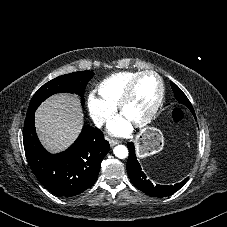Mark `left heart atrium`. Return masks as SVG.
<instances>
[{
    "mask_svg": "<svg viewBox=\"0 0 227 227\" xmlns=\"http://www.w3.org/2000/svg\"><path fill=\"white\" fill-rule=\"evenodd\" d=\"M130 129H131L130 123L122 118L112 120L108 124V131L114 135H125L130 131Z\"/></svg>",
    "mask_w": 227,
    "mask_h": 227,
    "instance_id": "39dd6f15",
    "label": "left heart atrium"
}]
</instances>
